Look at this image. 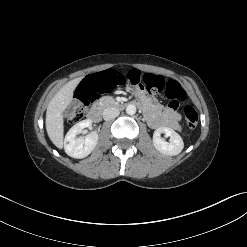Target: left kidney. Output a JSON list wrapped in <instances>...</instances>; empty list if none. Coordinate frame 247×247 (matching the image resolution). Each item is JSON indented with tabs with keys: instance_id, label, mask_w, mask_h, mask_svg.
<instances>
[{
	"instance_id": "5707ae66",
	"label": "left kidney",
	"mask_w": 247,
	"mask_h": 247,
	"mask_svg": "<svg viewBox=\"0 0 247 247\" xmlns=\"http://www.w3.org/2000/svg\"><path fill=\"white\" fill-rule=\"evenodd\" d=\"M161 134L170 137V141H164ZM153 145L159 152L169 156L178 155L184 148L181 136L169 127H159L154 131Z\"/></svg>"
}]
</instances>
